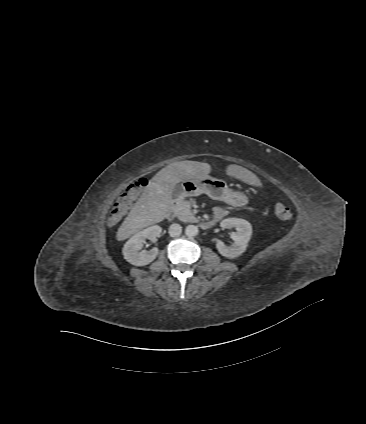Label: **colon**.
<instances>
[{
  "label": "colon",
  "mask_w": 366,
  "mask_h": 424,
  "mask_svg": "<svg viewBox=\"0 0 366 424\" xmlns=\"http://www.w3.org/2000/svg\"><path fill=\"white\" fill-rule=\"evenodd\" d=\"M148 184L147 179L141 178L130 184L124 192L117 198L109 214L108 222L110 225L117 224L129 209L133 201L139 196L141 190ZM275 214L281 220H288L292 217L290 207L278 203L275 206Z\"/></svg>",
  "instance_id": "5ec220e1"
}]
</instances>
